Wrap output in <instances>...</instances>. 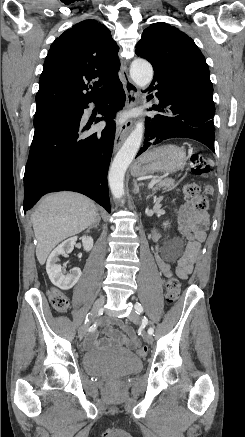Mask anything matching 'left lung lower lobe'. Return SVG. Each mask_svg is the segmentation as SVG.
Wrapping results in <instances>:
<instances>
[{
	"instance_id": "obj_1",
	"label": "left lung lower lobe",
	"mask_w": 245,
	"mask_h": 437,
	"mask_svg": "<svg viewBox=\"0 0 245 437\" xmlns=\"http://www.w3.org/2000/svg\"><path fill=\"white\" fill-rule=\"evenodd\" d=\"M153 89L157 90L156 97L161 107L153 109L163 114L146 119V143L137 156L146 151L151 144L178 137L197 140L214 151L215 105L212 97L159 77L153 78L150 90Z\"/></svg>"
}]
</instances>
